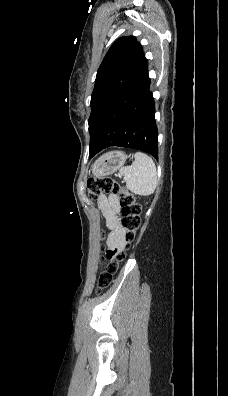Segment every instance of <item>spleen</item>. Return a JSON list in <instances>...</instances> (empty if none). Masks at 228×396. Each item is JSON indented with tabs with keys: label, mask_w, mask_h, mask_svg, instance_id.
<instances>
[{
	"label": "spleen",
	"mask_w": 228,
	"mask_h": 396,
	"mask_svg": "<svg viewBox=\"0 0 228 396\" xmlns=\"http://www.w3.org/2000/svg\"><path fill=\"white\" fill-rule=\"evenodd\" d=\"M134 158L135 161L130 166L120 169V174L124 176L126 186L131 192L150 195L155 191L158 182L155 163L142 152H137Z\"/></svg>",
	"instance_id": "3e777b00"
}]
</instances>
